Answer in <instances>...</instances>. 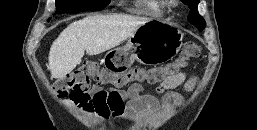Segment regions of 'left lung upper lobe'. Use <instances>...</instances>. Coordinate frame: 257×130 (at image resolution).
Wrapping results in <instances>:
<instances>
[{"instance_id": "left-lung-upper-lobe-1", "label": "left lung upper lobe", "mask_w": 257, "mask_h": 130, "mask_svg": "<svg viewBox=\"0 0 257 130\" xmlns=\"http://www.w3.org/2000/svg\"><path fill=\"white\" fill-rule=\"evenodd\" d=\"M189 8L191 9L190 14L188 15V21L195 25L199 31H202L206 26V23L202 16L198 14L197 6L199 4V0H183Z\"/></svg>"}]
</instances>
